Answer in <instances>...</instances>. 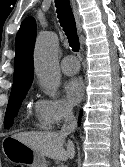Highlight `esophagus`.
<instances>
[{
  "label": "esophagus",
  "mask_w": 125,
  "mask_h": 167,
  "mask_svg": "<svg viewBox=\"0 0 125 167\" xmlns=\"http://www.w3.org/2000/svg\"><path fill=\"white\" fill-rule=\"evenodd\" d=\"M72 7H73V13H74L75 21H76L77 30L79 33H81L82 32L81 17L78 12V6L75 0H72Z\"/></svg>",
  "instance_id": "esophagus-1"
}]
</instances>
